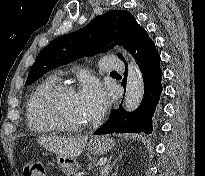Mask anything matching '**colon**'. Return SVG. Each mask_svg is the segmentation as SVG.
Listing matches in <instances>:
<instances>
[{"label":"colon","instance_id":"obj_1","mask_svg":"<svg viewBox=\"0 0 205 176\" xmlns=\"http://www.w3.org/2000/svg\"><path fill=\"white\" fill-rule=\"evenodd\" d=\"M23 176H44L45 168L43 163L38 160H29L22 167Z\"/></svg>","mask_w":205,"mask_h":176}]
</instances>
